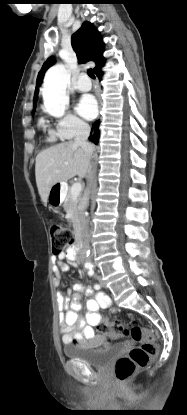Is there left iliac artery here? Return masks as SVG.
<instances>
[{"mask_svg": "<svg viewBox=\"0 0 187 415\" xmlns=\"http://www.w3.org/2000/svg\"><path fill=\"white\" fill-rule=\"evenodd\" d=\"M88 275L89 276H93L94 275V270L92 269V267L89 268ZM94 287H95V289H100V286L98 284H95Z\"/></svg>", "mask_w": 187, "mask_h": 415, "instance_id": "obj_1", "label": "left iliac artery"}]
</instances>
